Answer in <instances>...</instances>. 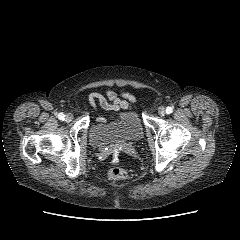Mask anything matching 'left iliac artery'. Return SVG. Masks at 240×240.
<instances>
[{
    "label": "left iliac artery",
    "instance_id": "44dca946",
    "mask_svg": "<svg viewBox=\"0 0 240 240\" xmlns=\"http://www.w3.org/2000/svg\"><path fill=\"white\" fill-rule=\"evenodd\" d=\"M172 112H173V108L170 107V106H168V107L166 108V113H167V114H171Z\"/></svg>",
    "mask_w": 240,
    "mask_h": 240
}]
</instances>
